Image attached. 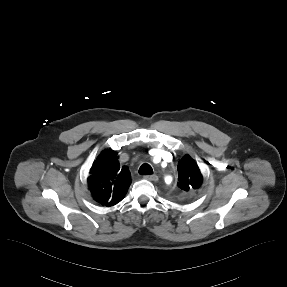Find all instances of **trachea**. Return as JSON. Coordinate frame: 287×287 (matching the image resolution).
<instances>
[{
    "mask_svg": "<svg viewBox=\"0 0 287 287\" xmlns=\"http://www.w3.org/2000/svg\"><path fill=\"white\" fill-rule=\"evenodd\" d=\"M139 174L140 175H150V174H153V169L152 167L145 163V164H142L141 167L139 168Z\"/></svg>",
    "mask_w": 287,
    "mask_h": 287,
    "instance_id": "3493384b",
    "label": "trachea"
}]
</instances>
